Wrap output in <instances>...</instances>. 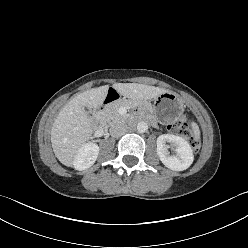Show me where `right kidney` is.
<instances>
[{
  "label": "right kidney",
  "instance_id": "obj_1",
  "mask_svg": "<svg viewBox=\"0 0 248 248\" xmlns=\"http://www.w3.org/2000/svg\"><path fill=\"white\" fill-rule=\"evenodd\" d=\"M99 154V147L94 143H85L74 159L73 167L76 170H85L91 167Z\"/></svg>",
  "mask_w": 248,
  "mask_h": 248
}]
</instances>
